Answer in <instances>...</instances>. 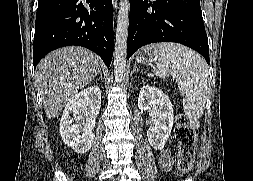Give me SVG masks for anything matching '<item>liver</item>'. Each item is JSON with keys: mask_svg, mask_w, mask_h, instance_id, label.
<instances>
[{"mask_svg": "<svg viewBox=\"0 0 253 181\" xmlns=\"http://www.w3.org/2000/svg\"><path fill=\"white\" fill-rule=\"evenodd\" d=\"M100 70V57L83 47H63L44 57L37 66L35 81L47 118H55L66 102L92 82Z\"/></svg>", "mask_w": 253, "mask_h": 181, "instance_id": "liver-1", "label": "liver"}]
</instances>
